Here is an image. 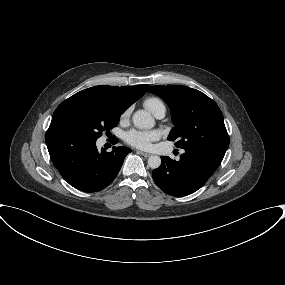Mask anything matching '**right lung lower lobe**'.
I'll list each match as a JSON object with an SVG mask.
<instances>
[{
  "mask_svg": "<svg viewBox=\"0 0 285 285\" xmlns=\"http://www.w3.org/2000/svg\"><path fill=\"white\" fill-rule=\"evenodd\" d=\"M51 160L61 176L74 188L97 192L106 188L118 174L127 147L113 151L97 150L96 140L60 123H52L45 136Z\"/></svg>",
  "mask_w": 285,
  "mask_h": 285,
  "instance_id": "98d812e1",
  "label": "right lung lower lobe"
}]
</instances>
